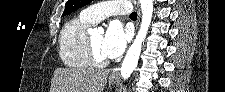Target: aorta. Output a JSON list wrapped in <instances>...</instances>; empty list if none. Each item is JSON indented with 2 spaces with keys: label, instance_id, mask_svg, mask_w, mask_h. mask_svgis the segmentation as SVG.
<instances>
[{
  "label": "aorta",
  "instance_id": "aorta-1",
  "mask_svg": "<svg viewBox=\"0 0 225 92\" xmlns=\"http://www.w3.org/2000/svg\"><path fill=\"white\" fill-rule=\"evenodd\" d=\"M139 1L142 11V21L138 34L136 35L133 44L128 49L120 69L121 76L124 80L130 77V75L137 66L142 50V43H144L152 20L153 0H139Z\"/></svg>",
  "mask_w": 225,
  "mask_h": 92
}]
</instances>
